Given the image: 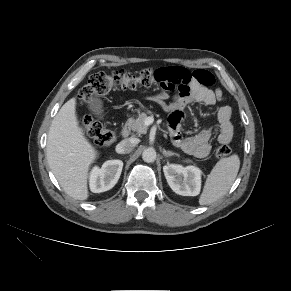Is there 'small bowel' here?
<instances>
[{"label":"small bowel","mask_w":291,"mask_h":291,"mask_svg":"<svg viewBox=\"0 0 291 291\" xmlns=\"http://www.w3.org/2000/svg\"><path fill=\"white\" fill-rule=\"evenodd\" d=\"M204 72L208 75L206 81H201L197 73ZM160 75L167 80H174L180 86L177 94L170 101L165 91H161L155 96V100L170 113L169 125L171 137L175 145L185 152L199 158L206 157L211 149L210 141L213 128L208 127L195 135L183 137L181 125L184 119V109L192 104L199 103L205 106H213L217 102L224 100V95L220 89L212 90L210 86L214 82L212 74L207 71L189 72L183 67H166L159 69ZM163 90L169 89L167 84L161 85ZM231 108L228 105H220L216 111V121L218 125V142L228 144L233 137V124L231 122Z\"/></svg>","instance_id":"c3829d8e"}]
</instances>
